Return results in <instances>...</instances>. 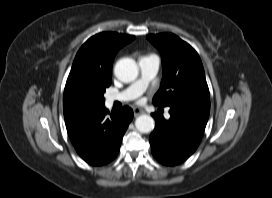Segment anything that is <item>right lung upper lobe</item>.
Wrapping results in <instances>:
<instances>
[{"label": "right lung upper lobe", "mask_w": 272, "mask_h": 198, "mask_svg": "<svg viewBox=\"0 0 272 198\" xmlns=\"http://www.w3.org/2000/svg\"><path fill=\"white\" fill-rule=\"evenodd\" d=\"M134 39L132 35L102 32L82 45L65 85L63 111L66 125L101 107L100 92L111 84L113 58L121 47Z\"/></svg>", "instance_id": "cb5924a9"}]
</instances>
